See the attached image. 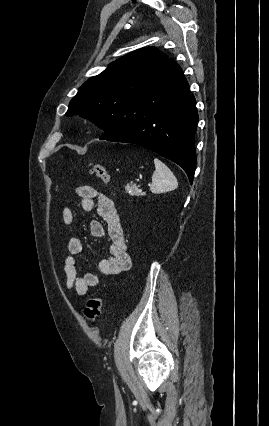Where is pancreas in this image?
I'll list each match as a JSON object with an SVG mask.
<instances>
[{"label": "pancreas", "mask_w": 269, "mask_h": 426, "mask_svg": "<svg viewBox=\"0 0 269 426\" xmlns=\"http://www.w3.org/2000/svg\"><path fill=\"white\" fill-rule=\"evenodd\" d=\"M125 191L126 193H128L130 196H142L143 193L139 192L138 187L136 186V184H127L125 186Z\"/></svg>", "instance_id": "1"}]
</instances>
